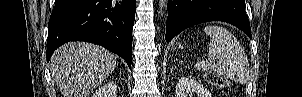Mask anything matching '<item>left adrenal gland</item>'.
Listing matches in <instances>:
<instances>
[{
	"label": "left adrenal gland",
	"instance_id": "1",
	"mask_svg": "<svg viewBox=\"0 0 302 97\" xmlns=\"http://www.w3.org/2000/svg\"><path fill=\"white\" fill-rule=\"evenodd\" d=\"M175 69H177V68H175V67L172 66L171 72H173Z\"/></svg>",
	"mask_w": 302,
	"mask_h": 97
}]
</instances>
